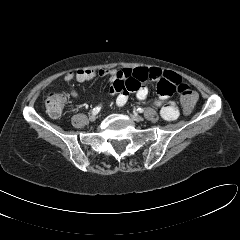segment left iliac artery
Listing matches in <instances>:
<instances>
[{"label": "left iliac artery", "mask_w": 240, "mask_h": 240, "mask_svg": "<svg viewBox=\"0 0 240 240\" xmlns=\"http://www.w3.org/2000/svg\"><path fill=\"white\" fill-rule=\"evenodd\" d=\"M135 111H136L137 113H142V112H144V109H143V108H137Z\"/></svg>", "instance_id": "obj_1"}]
</instances>
